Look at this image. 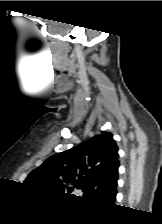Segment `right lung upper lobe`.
<instances>
[{
    "label": "right lung upper lobe",
    "mask_w": 162,
    "mask_h": 224,
    "mask_svg": "<svg viewBox=\"0 0 162 224\" xmlns=\"http://www.w3.org/2000/svg\"><path fill=\"white\" fill-rule=\"evenodd\" d=\"M118 157L113 135L104 132L49 157L24 183L62 194L77 188L83 190L84 197L112 202L117 192Z\"/></svg>",
    "instance_id": "1"
}]
</instances>
